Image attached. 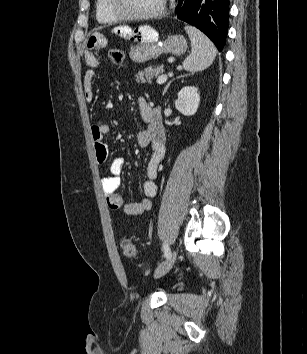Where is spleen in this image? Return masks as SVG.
I'll list each match as a JSON object with an SVG mask.
<instances>
[{"mask_svg":"<svg viewBox=\"0 0 307 354\" xmlns=\"http://www.w3.org/2000/svg\"><path fill=\"white\" fill-rule=\"evenodd\" d=\"M185 30L191 41V54L184 60L183 68L190 72L207 69L216 57L214 44L195 27L186 26Z\"/></svg>","mask_w":307,"mask_h":354,"instance_id":"3e777b00","label":"spleen"}]
</instances>
